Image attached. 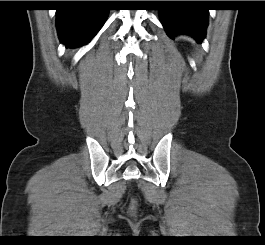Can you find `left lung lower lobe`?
Returning a JSON list of instances; mask_svg holds the SVG:
<instances>
[{"instance_id":"obj_1","label":"left lung lower lobe","mask_w":265,"mask_h":245,"mask_svg":"<svg viewBox=\"0 0 265 245\" xmlns=\"http://www.w3.org/2000/svg\"><path fill=\"white\" fill-rule=\"evenodd\" d=\"M161 23L170 38L188 34L199 43L206 35L208 10L198 8H167L160 10Z\"/></svg>"}]
</instances>
